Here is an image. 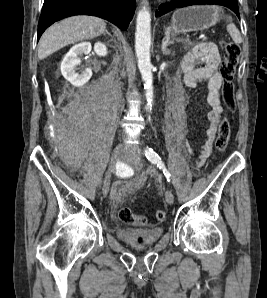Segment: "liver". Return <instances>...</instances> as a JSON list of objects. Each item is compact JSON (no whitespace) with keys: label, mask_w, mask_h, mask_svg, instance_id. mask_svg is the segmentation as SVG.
<instances>
[{"label":"liver","mask_w":267,"mask_h":298,"mask_svg":"<svg viewBox=\"0 0 267 298\" xmlns=\"http://www.w3.org/2000/svg\"><path fill=\"white\" fill-rule=\"evenodd\" d=\"M106 30L105 22L93 16H74L49 27L39 41L40 60L57 50L102 35Z\"/></svg>","instance_id":"1"}]
</instances>
